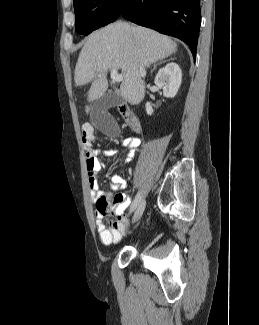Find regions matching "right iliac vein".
Masks as SVG:
<instances>
[{"instance_id": "1", "label": "right iliac vein", "mask_w": 259, "mask_h": 325, "mask_svg": "<svg viewBox=\"0 0 259 325\" xmlns=\"http://www.w3.org/2000/svg\"><path fill=\"white\" fill-rule=\"evenodd\" d=\"M145 205H146L145 199H143V198L140 199V201L136 207V210L134 212L133 218H132L133 223L137 222L141 218V216L144 212V209H145Z\"/></svg>"}]
</instances>
